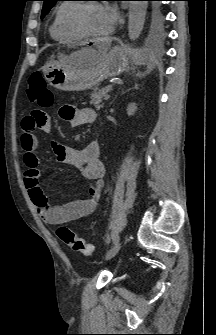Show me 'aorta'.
Here are the masks:
<instances>
[{
    "label": "aorta",
    "mask_w": 216,
    "mask_h": 335,
    "mask_svg": "<svg viewBox=\"0 0 216 335\" xmlns=\"http://www.w3.org/2000/svg\"><path fill=\"white\" fill-rule=\"evenodd\" d=\"M147 3L145 1H132L129 8L128 35L131 40H136L144 26Z\"/></svg>",
    "instance_id": "762f6f07"
}]
</instances>
